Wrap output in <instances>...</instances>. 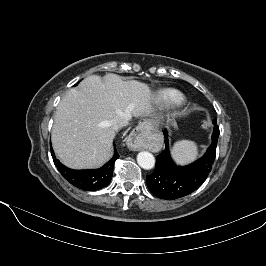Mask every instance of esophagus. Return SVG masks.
I'll return each mask as SVG.
<instances>
[{"label":"esophagus","mask_w":266,"mask_h":266,"mask_svg":"<svg viewBox=\"0 0 266 266\" xmlns=\"http://www.w3.org/2000/svg\"><path fill=\"white\" fill-rule=\"evenodd\" d=\"M149 129L147 122L140 123L126 138V144L132 151H139L145 146V136Z\"/></svg>","instance_id":"esophagus-1"}]
</instances>
